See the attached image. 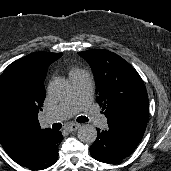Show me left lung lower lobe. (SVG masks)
<instances>
[{"mask_svg": "<svg viewBox=\"0 0 171 171\" xmlns=\"http://www.w3.org/2000/svg\"><path fill=\"white\" fill-rule=\"evenodd\" d=\"M140 141L118 132L113 128L100 131L90 147L91 156L103 163H117L129 156Z\"/></svg>", "mask_w": 171, "mask_h": 171, "instance_id": "left-lung-lower-lobe-1", "label": "left lung lower lobe"}]
</instances>
